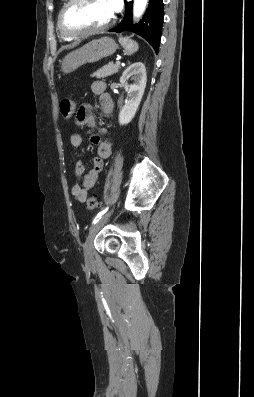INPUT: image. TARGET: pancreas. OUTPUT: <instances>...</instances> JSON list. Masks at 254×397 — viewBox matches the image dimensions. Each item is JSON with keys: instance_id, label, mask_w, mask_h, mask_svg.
<instances>
[{"instance_id": "obj_1", "label": "pancreas", "mask_w": 254, "mask_h": 397, "mask_svg": "<svg viewBox=\"0 0 254 397\" xmlns=\"http://www.w3.org/2000/svg\"><path fill=\"white\" fill-rule=\"evenodd\" d=\"M120 70V66L114 64L113 62L108 63L107 65L103 66L102 68L98 69L94 72L91 77H96L98 79L105 78L117 73Z\"/></svg>"}]
</instances>
